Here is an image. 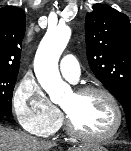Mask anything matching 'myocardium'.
Listing matches in <instances>:
<instances>
[{
    "instance_id": "myocardium-1",
    "label": "myocardium",
    "mask_w": 131,
    "mask_h": 151,
    "mask_svg": "<svg viewBox=\"0 0 131 151\" xmlns=\"http://www.w3.org/2000/svg\"><path fill=\"white\" fill-rule=\"evenodd\" d=\"M74 93L79 96H84L91 93H99L105 96L109 100L115 111L116 122L113 129L107 134L104 135L88 134L79 130L74 124L70 115L63 109L64 117H65V125L69 134L80 140H85L90 142H106L113 139L118 134L123 124V110L116 96L107 88L98 85H85L77 88L74 91Z\"/></svg>"
}]
</instances>
